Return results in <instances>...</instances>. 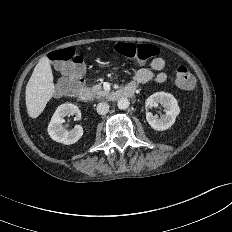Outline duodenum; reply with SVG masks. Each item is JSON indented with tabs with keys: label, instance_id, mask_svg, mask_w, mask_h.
Instances as JSON below:
<instances>
[{
	"label": "duodenum",
	"instance_id": "obj_1",
	"mask_svg": "<svg viewBox=\"0 0 232 232\" xmlns=\"http://www.w3.org/2000/svg\"><path fill=\"white\" fill-rule=\"evenodd\" d=\"M134 92H135L134 87L126 86V87H123L121 89H118V90H115V91L108 93L107 99L109 101H118L120 99L130 98L134 95ZM76 94H77L78 99L82 102H88L90 99V94H89L88 90L85 89L84 87H81L77 91Z\"/></svg>",
	"mask_w": 232,
	"mask_h": 232
}]
</instances>
